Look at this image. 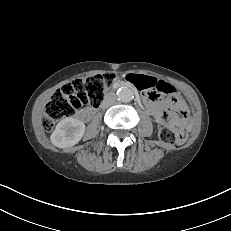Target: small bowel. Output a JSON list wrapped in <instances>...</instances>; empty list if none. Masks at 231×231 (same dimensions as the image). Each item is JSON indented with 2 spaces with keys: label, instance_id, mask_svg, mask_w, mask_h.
<instances>
[{
  "label": "small bowel",
  "instance_id": "c3829d8e",
  "mask_svg": "<svg viewBox=\"0 0 231 231\" xmlns=\"http://www.w3.org/2000/svg\"><path fill=\"white\" fill-rule=\"evenodd\" d=\"M131 82L138 88L137 80L141 79V84L147 89L142 90V96L145 100L148 101L146 107L153 115L157 122H163V111H170L173 107L184 106V103L181 97L175 93L171 94V98L166 100L163 105L152 101L150 98V90L157 86L161 81L153 76L148 75H133L130 77Z\"/></svg>",
  "mask_w": 231,
  "mask_h": 231
}]
</instances>
